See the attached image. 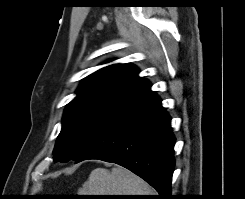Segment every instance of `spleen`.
<instances>
[{
    "label": "spleen",
    "mask_w": 245,
    "mask_h": 199,
    "mask_svg": "<svg viewBox=\"0 0 245 199\" xmlns=\"http://www.w3.org/2000/svg\"><path fill=\"white\" fill-rule=\"evenodd\" d=\"M80 195H156L141 178L123 167L97 168L79 189Z\"/></svg>",
    "instance_id": "1"
}]
</instances>
